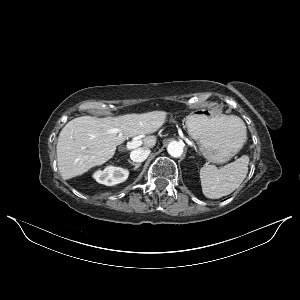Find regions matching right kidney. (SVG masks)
<instances>
[{
    "mask_svg": "<svg viewBox=\"0 0 300 300\" xmlns=\"http://www.w3.org/2000/svg\"><path fill=\"white\" fill-rule=\"evenodd\" d=\"M129 172L126 169L115 166H108L104 170H98L93 177L100 184L114 186L124 182L128 178Z\"/></svg>",
    "mask_w": 300,
    "mask_h": 300,
    "instance_id": "1",
    "label": "right kidney"
}]
</instances>
